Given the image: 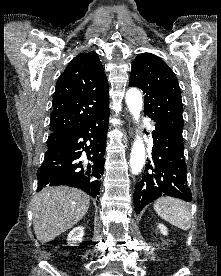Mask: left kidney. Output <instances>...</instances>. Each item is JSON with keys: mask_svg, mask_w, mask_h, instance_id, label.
<instances>
[{"mask_svg": "<svg viewBox=\"0 0 221 276\" xmlns=\"http://www.w3.org/2000/svg\"><path fill=\"white\" fill-rule=\"evenodd\" d=\"M159 229H160V232L163 234V235H167L168 234V230L167 228L163 225V224H159L158 225Z\"/></svg>", "mask_w": 221, "mask_h": 276, "instance_id": "left-kidney-1", "label": "left kidney"}]
</instances>
